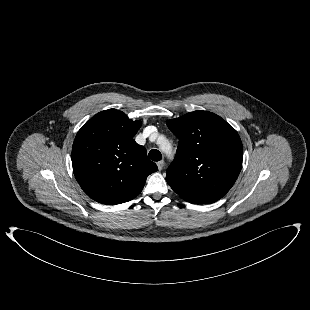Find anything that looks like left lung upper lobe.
I'll use <instances>...</instances> for the list:
<instances>
[{
    "mask_svg": "<svg viewBox=\"0 0 310 310\" xmlns=\"http://www.w3.org/2000/svg\"><path fill=\"white\" fill-rule=\"evenodd\" d=\"M179 139L166 181L184 200L210 204L218 201L235 183L243 159L237 131L220 116L194 111L168 120Z\"/></svg>",
    "mask_w": 310,
    "mask_h": 310,
    "instance_id": "1",
    "label": "left lung upper lobe"
}]
</instances>
